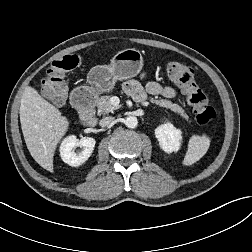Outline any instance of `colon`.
I'll return each mask as SVG.
<instances>
[{"mask_svg": "<svg viewBox=\"0 0 252 252\" xmlns=\"http://www.w3.org/2000/svg\"><path fill=\"white\" fill-rule=\"evenodd\" d=\"M80 60L78 55H66L54 61L48 70L43 80L42 93L55 105H61L65 101L68 91L66 74L76 68ZM167 72L171 81L186 95L198 124L206 126L212 123L216 118L215 110L196 84L194 70L182 62H172L168 65Z\"/></svg>", "mask_w": 252, "mask_h": 252, "instance_id": "colon-1", "label": "colon"}]
</instances>
